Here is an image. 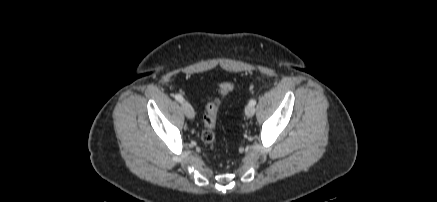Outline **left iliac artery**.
<instances>
[{
    "mask_svg": "<svg viewBox=\"0 0 437 202\" xmlns=\"http://www.w3.org/2000/svg\"><path fill=\"white\" fill-rule=\"evenodd\" d=\"M249 104L252 105V106H255L256 105V100L255 99L250 100Z\"/></svg>",
    "mask_w": 437,
    "mask_h": 202,
    "instance_id": "1",
    "label": "left iliac artery"
}]
</instances>
